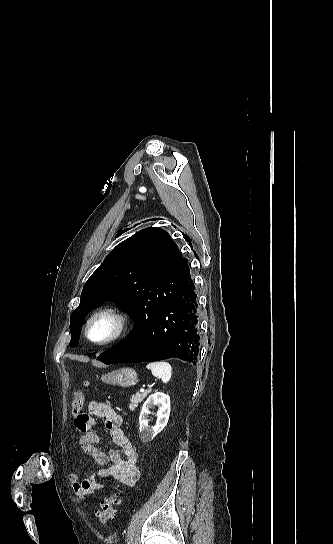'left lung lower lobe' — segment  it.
<instances>
[{"label":"left lung lower lobe","mask_w":333,"mask_h":544,"mask_svg":"<svg viewBox=\"0 0 333 544\" xmlns=\"http://www.w3.org/2000/svg\"><path fill=\"white\" fill-rule=\"evenodd\" d=\"M195 285L186 286L152 319L134 325L123 342L98 356L105 364L148 362L172 357L193 362L199 351V308Z\"/></svg>","instance_id":"0a47b994"}]
</instances>
